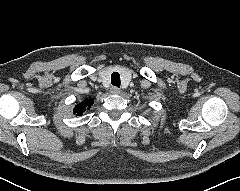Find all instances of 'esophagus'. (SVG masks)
Masks as SVG:
<instances>
[{"label": "esophagus", "instance_id": "esophagus-1", "mask_svg": "<svg viewBox=\"0 0 240 191\" xmlns=\"http://www.w3.org/2000/svg\"><path fill=\"white\" fill-rule=\"evenodd\" d=\"M110 92H111L112 94H120L121 90H120L118 87L112 86V87L110 88Z\"/></svg>", "mask_w": 240, "mask_h": 191}]
</instances>
